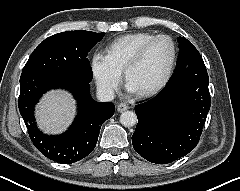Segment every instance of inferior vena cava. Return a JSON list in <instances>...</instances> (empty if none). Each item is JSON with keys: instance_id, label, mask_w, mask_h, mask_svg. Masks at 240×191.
Returning <instances> with one entry per match:
<instances>
[{"instance_id": "inferior-vena-cava-1", "label": "inferior vena cava", "mask_w": 240, "mask_h": 191, "mask_svg": "<svg viewBox=\"0 0 240 191\" xmlns=\"http://www.w3.org/2000/svg\"><path fill=\"white\" fill-rule=\"evenodd\" d=\"M96 94L100 102H109L114 99V91L111 88H98Z\"/></svg>"}]
</instances>
